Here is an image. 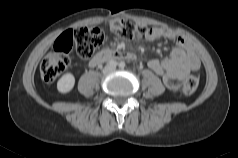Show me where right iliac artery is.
Masks as SVG:
<instances>
[{"label": "right iliac artery", "instance_id": "1", "mask_svg": "<svg viewBox=\"0 0 238 158\" xmlns=\"http://www.w3.org/2000/svg\"><path fill=\"white\" fill-rule=\"evenodd\" d=\"M109 65H110L111 67H116V66L118 65V63L113 60V61H110V62H109Z\"/></svg>", "mask_w": 238, "mask_h": 158}]
</instances>
